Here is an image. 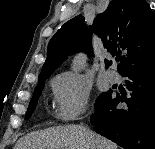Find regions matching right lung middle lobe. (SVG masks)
I'll return each mask as SVG.
<instances>
[{"instance_id": "right-lung-middle-lobe-1", "label": "right lung middle lobe", "mask_w": 155, "mask_h": 149, "mask_svg": "<svg viewBox=\"0 0 155 149\" xmlns=\"http://www.w3.org/2000/svg\"><path fill=\"white\" fill-rule=\"evenodd\" d=\"M47 78H49V77L39 79V84L35 88L33 97H32V99L30 101L29 106H28V110H27V113H26V116H25L26 119L31 117V115H32V113H33V111H34V109H35V107L37 105V101H38L39 96L41 94V90L44 87V81ZM109 98H111V92L110 91L101 94L100 97L97 99L95 106H97L99 103H101V102H103L105 100H108Z\"/></svg>"}]
</instances>
